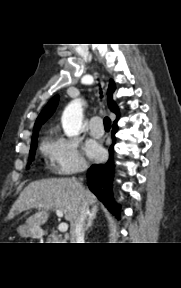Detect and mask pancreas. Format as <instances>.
Instances as JSON below:
<instances>
[{
  "mask_svg": "<svg viewBox=\"0 0 181 288\" xmlns=\"http://www.w3.org/2000/svg\"><path fill=\"white\" fill-rule=\"evenodd\" d=\"M48 240L51 241V240H57V239H55L54 236H50V237L48 238Z\"/></svg>",
  "mask_w": 181,
  "mask_h": 288,
  "instance_id": "1",
  "label": "pancreas"
}]
</instances>
